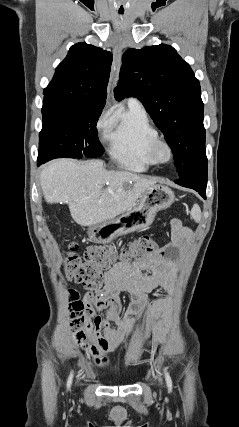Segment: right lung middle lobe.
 <instances>
[{
	"label": "right lung middle lobe",
	"instance_id": "obj_1",
	"mask_svg": "<svg viewBox=\"0 0 239 427\" xmlns=\"http://www.w3.org/2000/svg\"><path fill=\"white\" fill-rule=\"evenodd\" d=\"M103 108L72 103L43 102V126L39 135L38 162L54 158L99 157L104 148L98 140L97 121Z\"/></svg>",
	"mask_w": 239,
	"mask_h": 427
}]
</instances>
